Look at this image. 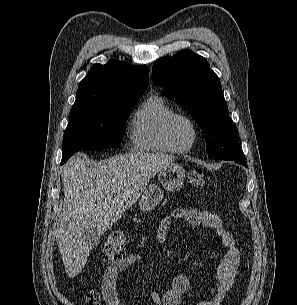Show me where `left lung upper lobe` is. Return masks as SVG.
Here are the masks:
<instances>
[{
    "mask_svg": "<svg viewBox=\"0 0 297 305\" xmlns=\"http://www.w3.org/2000/svg\"><path fill=\"white\" fill-rule=\"evenodd\" d=\"M152 72L155 85L164 87L161 93L187 110L202 128L209 158L233 160L246 166L220 79L207 60L183 50L157 60Z\"/></svg>",
    "mask_w": 297,
    "mask_h": 305,
    "instance_id": "left-lung-upper-lobe-1",
    "label": "left lung upper lobe"
}]
</instances>
